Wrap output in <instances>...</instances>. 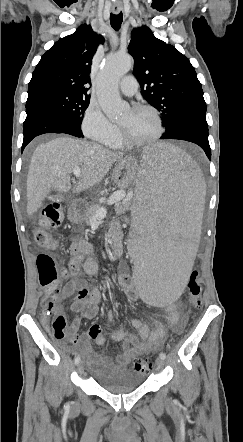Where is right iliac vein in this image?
Returning a JSON list of instances; mask_svg holds the SVG:
<instances>
[{"label": "right iliac vein", "mask_w": 243, "mask_h": 442, "mask_svg": "<svg viewBox=\"0 0 243 442\" xmlns=\"http://www.w3.org/2000/svg\"><path fill=\"white\" fill-rule=\"evenodd\" d=\"M77 371H78V373H79L80 375L83 373V371H84V364H83V362H80V363L78 364V366H77Z\"/></svg>", "instance_id": "1"}]
</instances>
